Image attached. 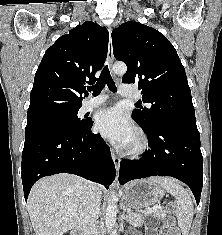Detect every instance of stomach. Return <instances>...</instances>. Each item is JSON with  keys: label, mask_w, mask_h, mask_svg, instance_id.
Listing matches in <instances>:
<instances>
[{"label": "stomach", "mask_w": 222, "mask_h": 235, "mask_svg": "<svg viewBox=\"0 0 222 235\" xmlns=\"http://www.w3.org/2000/svg\"><path fill=\"white\" fill-rule=\"evenodd\" d=\"M164 189L147 180H138L129 183L125 189V201L130 208H146L162 199Z\"/></svg>", "instance_id": "1"}]
</instances>
